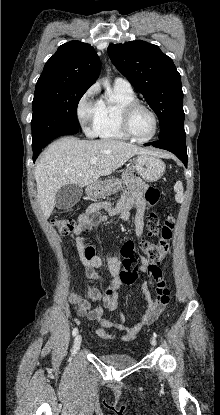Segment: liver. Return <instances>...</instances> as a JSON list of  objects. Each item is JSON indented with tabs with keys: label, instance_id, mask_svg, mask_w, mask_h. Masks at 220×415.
Listing matches in <instances>:
<instances>
[{
	"label": "liver",
	"instance_id": "obj_1",
	"mask_svg": "<svg viewBox=\"0 0 220 415\" xmlns=\"http://www.w3.org/2000/svg\"><path fill=\"white\" fill-rule=\"evenodd\" d=\"M152 152L131 143L113 139H59L41 154L36 167L37 196L45 218L55 205L57 191L65 185L89 186L108 176L136 154ZM97 158L96 164L90 159Z\"/></svg>",
	"mask_w": 220,
	"mask_h": 415
}]
</instances>
